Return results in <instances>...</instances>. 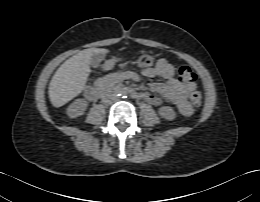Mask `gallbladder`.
I'll use <instances>...</instances> for the list:
<instances>
[{
	"label": "gallbladder",
	"instance_id": "1",
	"mask_svg": "<svg viewBox=\"0 0 260 202\" xmlns=\"http://www.w3.org/2000/svg\"><path fill=\"white\" fill-rule=\"evenodd\" d=\"M104 59V54L102 53H97L93 55L90 59V65L93 68H98L100 65V62Z\"/></svg>",
	"mask_w": 260,
	"mask_h": 202
}]
</instances>
